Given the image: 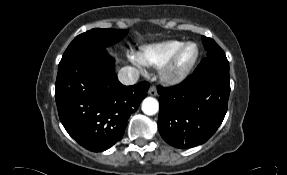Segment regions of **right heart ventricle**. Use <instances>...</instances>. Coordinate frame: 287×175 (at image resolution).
Returning <instances> with one entry per match:
<instances>
[{
	"mask_svg": "<svg viewBox=\"0 0 287 175\" xmlns=\"http://www.w3.org/2000/svg\"><path fill=\"white\" fill-rule=\"evenodd\" d=\"M183 43L180 40H167L146 45L141 48L139 59L144 66L161 68Z\"/></svg>",
	"mask_w": 287,
	"mask_h": 175,
	"instance_id": "e07e8e85",
	"label": "right heart ventricle"
}]
</instances>
